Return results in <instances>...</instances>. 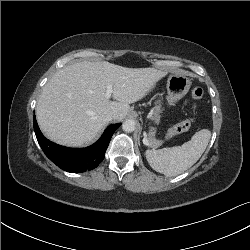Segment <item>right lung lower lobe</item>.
<instances>
[{"label": "right lung lower lobe", "mask_w": 250, "mask_h": 250, "mask_svg": "<svg viewBox=\"0 0 250 250\" xmlns=\"http://www.w3.org/2000/svg\"><path fill=\"white\" fill-rule=\"evenodd\" d=\"M34 131L45 155L59 168L70 173L90 171L104 159L113 133L121 123L109 125L101 138L87 148H68L46 139L41 133L36 118H33Z\"/></svg>", "instance_id": "obj_1"}]
</instances>
